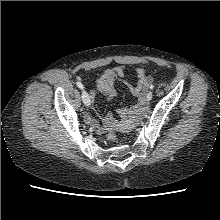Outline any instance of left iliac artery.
Instances as JSON below:
<instances>
[{
  "label": "left iliac artery",
  "instance_id": "obj_1",
  "mask_svg": "<svg viewBox=\"0 0 220 220\" xmlns=\"http://www.w3.org/2000/svg\"><path fill=\"white\" fill-rule=\"evenodd\" d=\"M154 88V86L153 85H150V89L152 90Z\"/></svg>",
  "mask_w": 220,
  "mask_h": 220
}]
</instances>
